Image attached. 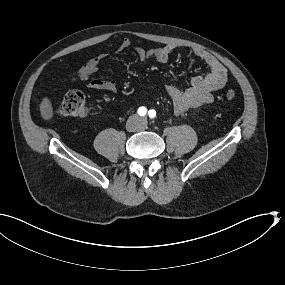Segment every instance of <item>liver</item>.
Here are the masks:
<instances>
[{"mask_svg": "<svg viewBox=\"0 0 285 285\" xmlns=\"http://www.w3.org/2000/svg\"><path fill=\"white\" fill-rule=\"evenodd\" d=\"M39 112L41 118L45 121H50L54 117V108L51 99L48 96H44L39 104Z\"/></svg>", "mask_w": 285, "mask_h": 285, "instance_id": "obj_1", "label": "liver"}]
</instances>
